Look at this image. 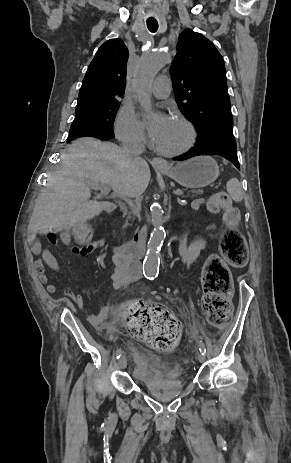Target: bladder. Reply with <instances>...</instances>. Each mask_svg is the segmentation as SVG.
I'll return each mask as SVG.
<instances>
[{"label": "bladder", "instance_id": "1", "mask_svg": "<svg viewBox=\"0 0 291 463\" xmlns=\"http://www.w3.org/2000/svg\"><path fill=\"white\" fill-rule=\"evenodd\" d=\"M134 354L137 355L136 361L140 366H145L149 363L150 359L144 354L143 349H136ZM161 379L159 374L150 371H145L143 375L138 377V381L145 387H156L158 386V381ZM167 384L180 388L184 386L185 382L180 378H175L170 380Z\"/></svg>", "mask_w": 291, "mask_h": 463}]
</instances>
